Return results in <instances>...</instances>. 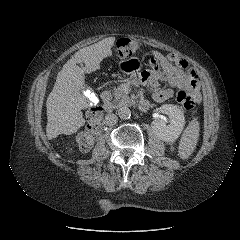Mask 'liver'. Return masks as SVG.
<instances>
[{
    "mask_svg": "<svg viewBox=\"0 0 240 240\" xmlns=\"http://www.w3.org/2000/svg\"><path fill=\"white\" fill-rule=\"evenodd\" d=\"M114 42V37H108L82 48L63 65L46 101L48 139L74 134L85 124L81 111L86 106V98L81 94L84 74L100 69L102 60L112 55ZM78 63H84L85 68L82 70Z\"/></svg>",
    "mask_w": 240,
    "mask_h": 240,
    "instance_id": "obj_1",
    "label": "liver"
}]
</instances>
